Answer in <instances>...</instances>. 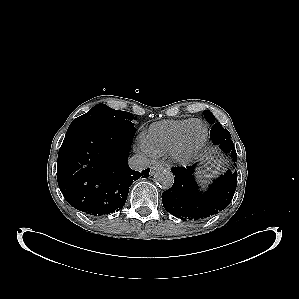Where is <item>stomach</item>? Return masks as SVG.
I'll return each mask as SVG.
<instances>
[{
  "mask_svg": "<svg viewBox=\"0 0 299 299\" xmlns=\"http://www.w3.org/2000/svg\"><path fill=\"white\" fill-rule=\"evenodd\" d=\"M211 160L214 161V163L211 162ZM211 160L208 161V164H210V166L207 165L205 169L200 172V177H212L220 170L221 163L218 160H214L212 157Z\"/></svg>",
  "mask_w": 299,
  "mask_h": 299,
  "instance_id": "stomach-1",
  "label": "stomach"
}]
</instances>
